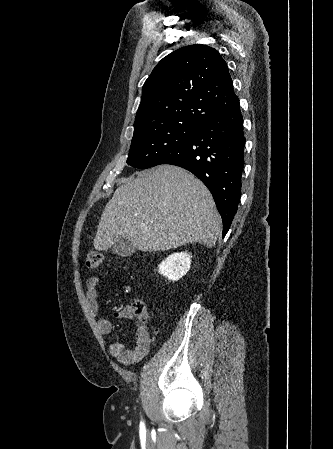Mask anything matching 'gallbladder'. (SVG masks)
I'll return each instance as SVG.
<instances>
[{"mask_svg":"<svg viewBox=\"0 0 333 449\" xmlns=\"http://www.w3.org/2000/svg\"><path fill=\"white\" fill-rule=\"evenodd\" d=\"M136 250V246H134L132 242L125 237H121L112 248V251L121 257L132 255L136 252Z\"/></svg>","mask_w":333,"mask_h":449,"instance_id":"obj_1","label":"gallbladder"}]
</instances>
